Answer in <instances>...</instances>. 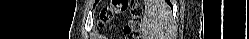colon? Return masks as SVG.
Returning a JSON list of instances; mask_svg holds the SVG:
<instances>
[{
    "label": "colon",
    "mask_w": 249,
    "mask_h": 39,
    "mask_svg": "<svg viewBox=\"0 0 249 39\" xmlns=\"http://www.w3.org/2000/svg\"><path fill=\"white\" fill-rule=\"evenodd\" d=\"M127 10L131 12V20L124 28V35L127 39H139L141 8L134 0H114L110 6L102 9L100 22L105 24L111 21L116 14Z\"/></svg>",
    "instance_id": "colon-1"
}]
</instances>
